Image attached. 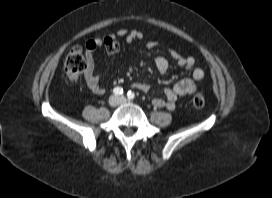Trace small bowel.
<instances>
[{"label": "small bowel", "instance_id": "1", "mask_svg": "<svg viewBox=\"0 0 272 198\" xmlns=\"http://www.w3.org/2000/svg\"><path fill=\"white\" fill-rule=\"evenodd\" d=\"M118 38H125L127 42L131 43L142 39L143 33L139 30L119 29L115 33L90 39L85 44L87 64L85 80L88 88L96 95H103L106 90L104 86L100 84L95 52L97 49L104 47L110 55L117 54L119 51ZM146 47L148 49H155L157 44L154 41H148ZM169 55L178 66L191 71L190 77L180 80L172 87L164 88L163 93L165 99L155 98L152 101L155 107L166 108L167 110L172 111L176 107L178 98L190 95L196 91L198 82L204 77V72L201 68L195 67V59L191 56H183L175 50H170ZM154 63L161 73L166 72L169 68V61L164 56H157ZM132 87L141 92H147L150 89L149 85L144 82H134Z\"/></svg>", "mask_w": 272, "mask_h": 198}]
</instances>
